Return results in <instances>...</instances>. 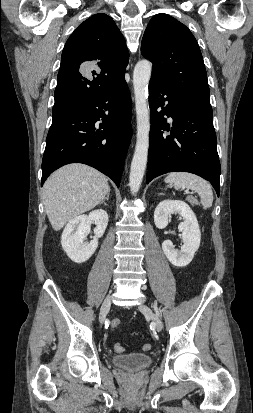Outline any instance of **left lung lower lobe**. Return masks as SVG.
Wrapping results in <instances>:
<instances>
[{
	"mask_svg": "<svg viewBox=\"0 0 253 413\" xmlns=\"http://www.w3.org/2000/svg\"><path fill=\"white\" fill-rule=\"evenodd\" d=\"M165 101L168 104L163 107ZM149 104L151 130L146 183L168 172H190L210 181L219 196L221 170L212 111L173 94L152 77ZM159 107L161 111H157ZM164 115L173 118L171 128Z\"/></svg>",
	"mask_w": 253,
	"mask_h": 413,
	"instance_id": "0a47b994",
	"label": "left lung lower lobe"
}]
</instances>
